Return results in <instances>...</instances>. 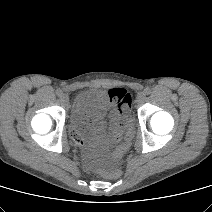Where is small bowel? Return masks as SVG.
Here are the masks:
<instances>
[{"label":"small bowel","mask_w":212,"mask_h":212,"mask_svg":"<svg viewBox=\"0 0 212 212\" xmlns=\"http://www.w3.org/2000/svg\"><path fill=\"white\" fill-rule=\"evenodd\" d=\"M116 89V88H115ZM112 90V89H111ZM101 93L97 96L95 104L89 111L88 121H91L92 128L99 136L105 137V145L116 144L121 140L123 128L120 122L121 116L118 111L112 110L109 101L115 103L118 98H110V91ZM108 120L106 129L105 122Z\"/></svg>","instance_id":"obj_1"}]
</instances>
